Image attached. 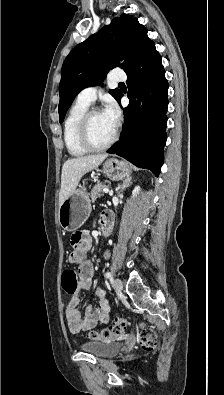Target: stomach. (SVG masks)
Returning a JSON list of instances; mask_svg holds the SVG:
<instances>
[{
    "instance_id": "1",
    "label": "stomach",
    "mask_w": 224,
    "mask_h": 395,
    "mask_svg": "<svg viewBox=\"0 0 224 395\" xmlns=\"http://www.w3.org/2000/svg\"><path fill=\"white\" fill-rule=\"evenodd\" d=\"M103 173L109 179L118 181L131 174L129 165L115 158L108 159L103 164ZM91 203L85 189L75 190L60 206L58 211L59 225L67 231H75L88 219Z\"/></svg>"
}]
</instances>
